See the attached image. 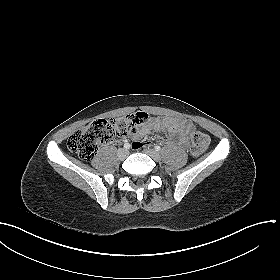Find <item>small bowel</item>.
Segmentation results:
<instances>
[{
  "label": "small bowel",
  "instance_id": "c3829d8e",
  "mask_svg": "<svg viewBox=\"0 0 280 280\" xmlns=\"http://www.w3.org/2000/svg\"><path fill=\"white\" fill-rule=\"evenodd\" d=\"M194 129V124L188 119L172 117L155 118L151 120L146 126L136 130L132 135L135 139L139 140L153 132L163 131L170 135L178 133L180 136L179 142L181 144H185L187 137ZM136 143L140 144V142Z\"/></svg>",
  "mask_w": 280,
  "mask_h": 280
}]
</instances>
